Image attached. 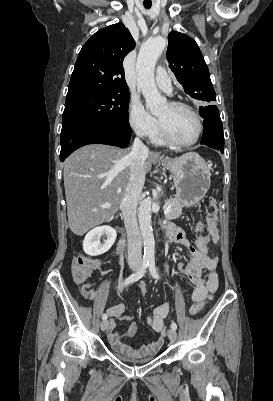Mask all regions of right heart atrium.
<instances>
[{
    "label": "right heart atrium",
    "mask_w": 273,
    "mask_h": 401,
    "mask_svg": "<svg viewBox=\"0 0 273 401\" xmlns=\"http://www.w3.org/2000/svg\"><path fill=\"white\" fill-rule=\"evenodd\" d=\"M129 124L140 138L152 137L158 129V120L151 115L139 100H132L129 107Z\"/></svg>",
    "instance_id": "obj_1"
}]
</instances>
